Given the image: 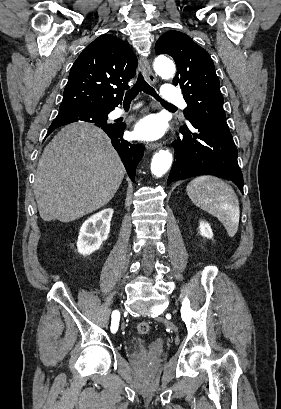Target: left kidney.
Wrapping results in <instances>:
<instances>
[{"mask_svg":"<svg viewBox=\"0 0 281 409\" xmlns=\"http://www.w3.org/2000/svg\"><path fill=\"white\" fill-rule=\"evenodd\" d=\"M199 231H200V235H202V237H207V239H212L213 231H212L209 223H205V221H201V223L199 225Z\"/></svg>","mask_w":281,"mask_h":409,"instance_id":"left-kidney-1","label":"left kidney"}]
</instances>
